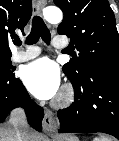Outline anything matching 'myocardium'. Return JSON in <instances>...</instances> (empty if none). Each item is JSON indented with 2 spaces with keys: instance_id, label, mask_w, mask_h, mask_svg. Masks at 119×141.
I'll return each instance as SVG.
<instances>
[{
  "instance_id": "1",
  "label": "myocardium",
  "mask_w": 119,
  "mask_h": 141,
  "mask_svg": "<svg viewBox=\"0 0 119 141\" xmlns=\"http://www.w3.org/2000/svg\"><path fill=\"white\" fill-rule=\"evenodd\" d=\"M73 89L70 86H65L61 91L54 104L59 107L67 106L73 100Z\"/></svg>"
}]
</instances>
